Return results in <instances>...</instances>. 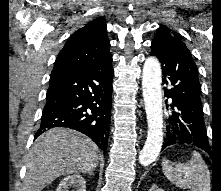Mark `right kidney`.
Listing matches in <instances>:
<instances>
[{
    "label": "right kidney",
    "instance_id": "obj_1",
    "mask_svg": "<svg viewBox=\"0 0 221 191\" xmlns=\"http://www.w3.org/2000/svg\"><path fill=\"white\" fill-rule=\"evenodd\" d=\"M70 187L76 191H86V181L81 175H69L60 182L56 191H68Z\"/></svg>",
    "mask_w": 221,
    "mask_h": 191
}]
</instances>
